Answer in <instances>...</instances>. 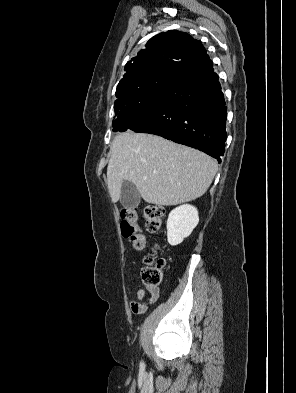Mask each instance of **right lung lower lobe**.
<instances>
[{
	"label": "right lung lower lobe",
	"instance_id": "right-lung-lower-lobe-1",
	"mask_svg": "<svg viewBox=\"0 0 296 393\" xmlns=\"http://www.w3.org/2000/svg\"><path fill=\"white\" fill-rule=\"evenodd\" d=\"M218 78L208 55L180 69L122 131L159 135L199 149L220 163L227 112Z\"/></svg>",
	"mask_w": 296,
	"mask_h": 393
}]
</instances>
